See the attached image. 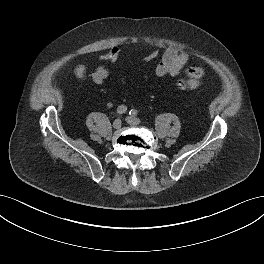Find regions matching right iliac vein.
<instances>
[{"label": "right iliac vein", "mask_w": 264, "mask_h": 264, "mask_svg": "<svg viewBox=\"0 0 264 264\" xmlns=\"http://www.w3.org/2000/svg\"><path fill=\"white\" fill-rule=\"evenodd\" d=\"M121 125H122V121H121V119H116V120L113 122V127H114L115 129H119V128L121 127Z\"/></svg>", "instance_id": "obj_1"}]
</instances>
